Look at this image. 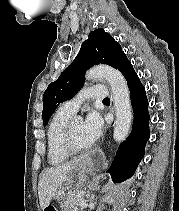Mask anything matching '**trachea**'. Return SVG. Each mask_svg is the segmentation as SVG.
Returning <instances> with one entry per match:
<instances>
[{
  "label": "trachea",
  "instance_id": "trachea-1",
  "mask_svg": "<svg viewBox=\"0 0 179 211\" xmlns=\"http://www.w3.org/2000/svg\"><path fill=\"white\" fill-rule=\"evenodd\" d=\"M103 101H110V99L109 98H105Z\"/></svg>",
  "mask_w": 179,
  "mask_h": 211
}]
</instances>
